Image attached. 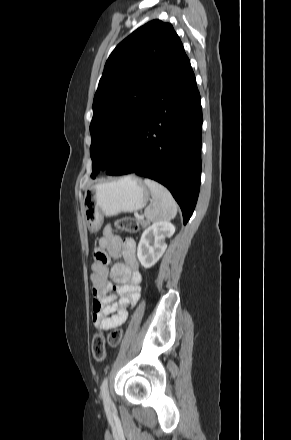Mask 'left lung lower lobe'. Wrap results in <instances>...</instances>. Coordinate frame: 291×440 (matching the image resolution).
<instances>
[{"instance_id":"left-lung-lower-lobe-1","label":"left lung lower lobe","mask_w":291,"mask_h":440,"mask_svg":"<svg viewBox=\"0 0 291 440\" xmlns=\"http://www.w3.org/2000/svg\"><path fill=\"white\" fill-rule=\"evenodd\" d=\"M201 143V98L185 55L150 100L106 173H135L163 184L180 205L186 224L199 195Z\"/></svg>"}]
</instances>
